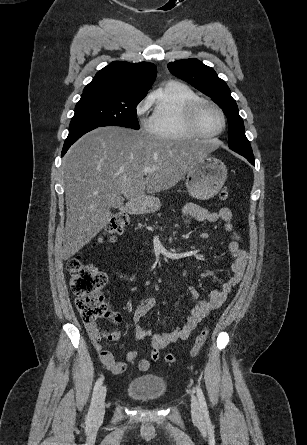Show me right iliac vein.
I'll return each instance as SVG.
<instances>
[{
	"instance_id": "right-iliac-vein-1",
	"label": "right iliac vein",
	"mask_w": 307,
	"mask_h": 445,
	"mask_svg": "<svg viewBox=\"0 0 307 445\" xmlns=\"http://www.w3.org/2000/svg\"><path fill=\"white\" fill-rule=\"evenodd\" d=\"M105 397H106V387L102 386L98 395L95 404L94 410V420L99 421L103 418L105 413Z\"/></svg>"
}]
</instances>
